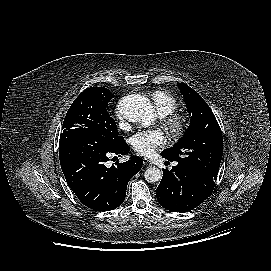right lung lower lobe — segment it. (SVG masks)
Listing matches in <instances>:
<instances>
[{
    "instance_id": "1",
    "label": "right lung lower lobe",
    "mask_w": 271,
    "mask_h": 271,
    "mask_svg": "<svg viewBox=\"0 0 271 271\" xmlns=\"http://www.w3.org/2000/svg\"><path fill=\"white\" fill-rule=\"evenodd\" d=\"M130 148L123 140L113 148L93 143L59 144V159L67 184L78 199L96 211H110L120 206L129 180L139 172L142 159L132 156L127 162L108 167L110 154L126 155Z\"/></svg>"
}]
</instances>
